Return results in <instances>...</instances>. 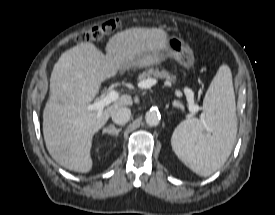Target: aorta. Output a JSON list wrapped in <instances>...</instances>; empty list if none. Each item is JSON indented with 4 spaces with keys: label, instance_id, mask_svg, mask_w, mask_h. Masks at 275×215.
<instances>
[{
    "label": "aorta",
    "instance_id": "obj_1",
    "mask_svg": "<svg viewBox=\"0 0 275 215\" xmlns=\"http://www.w3.org/2000/svg\"><path fill=\"white\" fill-rule=\"evenodd\" d=\"M161 119V115L159 113V111L157 110H149L146 115H145V121L147 123V125L153 127V126H157L160 122Z\"/></svg>",
    "mask_w": 275,
    "mask_h": 215
}]
</instances>
